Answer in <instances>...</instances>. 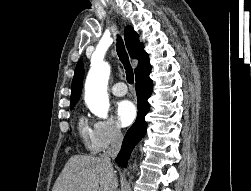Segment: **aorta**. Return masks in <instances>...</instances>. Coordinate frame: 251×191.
Instances as JSON below:
<instances>
[{
  "mask_svg": "<svg viewBox=\"0 0 251 191\" xmlns=\"http://www.w3.org/2000/svg\"><path fill=\"white\" fill-rule=\"evenodd\" d=\"M103 56L93 54L91 68L85 82V101L92 113L98 117H108L109 97L107 84L110 76V66L102 60Z\"/></svg>",
  "mask_w": 251,
  "mask_h": 191,
  "instance_id": "aorta-1",
  "label": "aorta"
}]
</instances>
